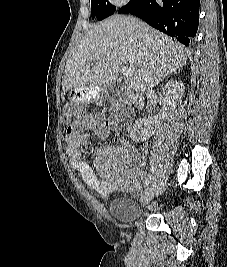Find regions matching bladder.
Wrapping results in <instances>:
<instances>
[{
  "label": "bladder",
  "instance_id": "bladder-1",
  "mask_svg": "<svg viewBox=\"0 0 227 267\" xmlns=\"http://www.w3.org/2000/svg\"><path fill=\"white\" fill-rule=\"evenodd\" d=\"M109 209L113 218L122 224L133 223L142 216V211L137 209L135 201L122 195L112 198Z\"/></svg>",
  "mask_w": 227,
  "mask_h": 267
}]
</instances>
